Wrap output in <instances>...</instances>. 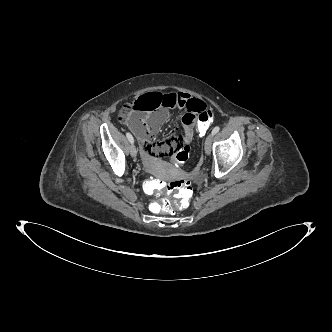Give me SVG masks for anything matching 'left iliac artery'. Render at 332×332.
Masks as SVG:
<instances>
[{
  "instance_id": "1",
  "label": "left iliac artery",
  "mask_w": 332,
  "mask_h": 332,
  "mask_svg": "<svg viewBox=\"0 0 332 332\" xmlns=\"http://www.w3.org/2000/svg\"><path fill=\"white\" fill-rule=\"evenodd\" d=\"M219 130H220V127H219V126H216V127L213 128L211 134L214 136L216 133L219 132Z\"/></svg>"
}]
</instances>
